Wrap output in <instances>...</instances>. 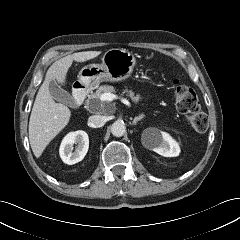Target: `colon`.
Returning a JSON list of instances; mask_svg holds the SVG:
<instances>
[{
	"label": "colon",
	"instance_id": "colon-1",
	"mask_svg": "<svg viewBox=\"0 0 240 240\" xmlns=\"http://www.w3.org/2000/svg\"><path fill=\"white\" fill-rule=\"evenodd\" d=\"M174 100L177 109L185 116L188 125L196 132L208 127V117L200 110V101L193 88L175 81Z\"/></svg>",
	"mask_w": 240,
	"mask_h": 240
}]
</instances>
